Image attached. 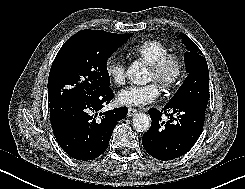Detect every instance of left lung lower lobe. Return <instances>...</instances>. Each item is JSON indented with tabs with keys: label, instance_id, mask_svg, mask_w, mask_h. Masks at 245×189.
Masks as SVG:
<instances>
[{
	"label": "left lung lower lobe",
	"instance_id": "1",
	"mask_svg": "<svg viewBox=\"0 0 245 189\" xmlns=\"http://www.w3.org/2000/svg\"><path fill=\"white\" fill-rule=\"evenodd\" d=\"M206 108L196 102H187L177 105L167 103L162 111L150 109L151 127L142 137L147 153L166 161L189 151L202 132ZM163 114L170 120L163 121Z\"/></svg>",
	"mask_w": 245,
	"mask_h": 189
}]
</instances>
